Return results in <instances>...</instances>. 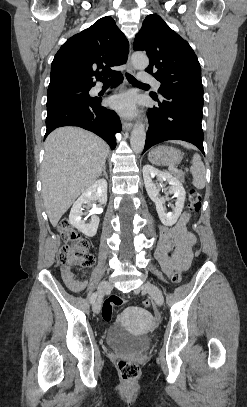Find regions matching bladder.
<instances>
[{
    "mask_svg": "<svg viewBox=\"0 0 247 407\" xmlns=\"http://www.w3.org/2000/svg\"><path fill=\"white\" fill-rule=\"evenodd\" d=\"M105 339L115 350L135 352L148 347L152 338L150 334L134 333L121 322H115L106 328Z\"/></svg>",
    "mask_w": 247,
    "mask_h": 407,
    "instance_id": "31cf9c89",
    "label": "bladder"
}]
</instances>
